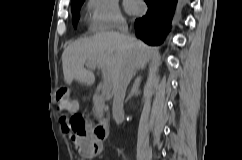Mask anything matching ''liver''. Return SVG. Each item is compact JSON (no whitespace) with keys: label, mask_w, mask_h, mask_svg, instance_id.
Segmentation results:
<instances>
[{"label":"liver","mask_w":242,"mask_h":160,"mask_svg":"<svg viewBox=\"0 0 242 160\" xmlns=\"http://www.w3.org/2000/svg\"><path fill=\"white\" fill-rule=\"evenodd\" d=\"M157 56V49L133 37L116 32L100 33L67 46L62 54L64 80L69 85L73 80L92 85L95 75L84 68L85 64H92L108 72L114 88L125 68L143 69Z\"/></svg>","instance_id":"liver-1"}]
</instances>
